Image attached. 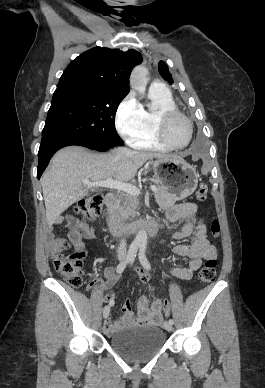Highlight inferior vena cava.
Instances as JSON below:
<instances>
[{
	"label": "inferior vena cava",
	"instance_id": "inferior-vena-cava-1",
	"mask_svg": "<svg viewBox=\"0 0 265 388\" xmlns=\"http://www.w3.org/2000/svg\"><path fill=\"white\" fill-rule=\"evenodd\" d=\"M126 254H127L126 240H121L119 244V248L117 250V256L118 258H126Z\"/></svg>",
	"mask_w": 265,
	"mask_h": 388
}]
</instances>
